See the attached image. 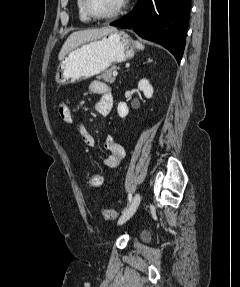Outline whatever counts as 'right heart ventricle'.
I'll list each match as a JSON object with an SVG mask.
<instances>
[{
	"label": "right heart ventricle",
	"instance_id": "obj_1",
	"mask_svg": "<svg viewBox=\"0 0 240 287\" xmlns=\"http://www.w3.org/2000/svg\"><path fill=\"white\" fill-rule=\"evenodd\" d=\"M76 6H77L79 19L83 22H89L91 18L85 13V10L83 8V0H77Z\"/></svg>",
	"mask_w": 240,
	"mask_h": 287
}]
</instances>
